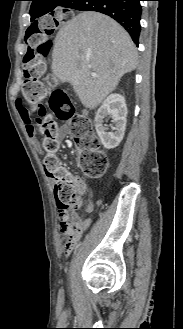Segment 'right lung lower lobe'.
Masks as SVG:
<instances>
[{"label": "right lung lower lobe", "instance_id": "right-lung-lower-lobe-1", "mask_svg": "<svg viewBox=\"0 0 183 329\" xmlns=\"http://www.w3.org/2000/svg\"><path fill=\"white\" fill-rule=\"evenodd\" d=\"M141 0H73L68 8L80 11H96L106 14L120 23L138 46L141 31Z\"/></svg>", "mask_w": 183, "mask_h": 329}]
</instances>
